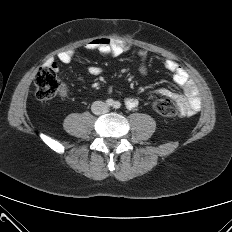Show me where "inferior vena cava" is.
Segmentation results:
<instances>
[{
	"mask_svg": "<svg viewBox=\"0 0 232 232\" xmlns=\"http://www.w3.org/2000/svg\"><path fill=\"white\" fill-rule=\"evenodd\" d=\"M91 110L95 115H101L108 111V106L102 101H95L91 106Z\"/></svg>",
	"mask_w": 232,
	"mask_h": 232,
	"instance_id": "1",
	"label": "inferior vena cava"
}]
</instances>
